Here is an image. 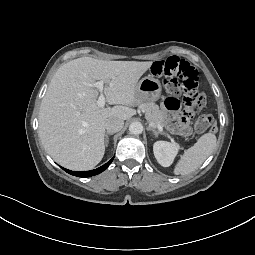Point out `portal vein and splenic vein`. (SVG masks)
I'll list each match as a JSON object with an SVG mask.
<instances>
[{
	"mask_svg": "<svg viewBox=\"0 0 255 255\" xmlns=\"http://www.w3.org/2000/svg\"><path fill=\"white\" fill-rule=\"evenodd\" d=\"M94 86L100 92V96H99V98L97 100V104H98L99 107H104L105 106V102H106L105 96L103 94L104 81H97V82H95ZM151 125H153V124L151 123ZM156 127L158 128L159 131H163V128H162V126L160 124H158Z\"/></svg>",
	"mask_w": 255,
	"mask_h": 255,
	"instance_id": "obj_1",
	"label": "portal vein and splenic vein"
}]
</instances>
